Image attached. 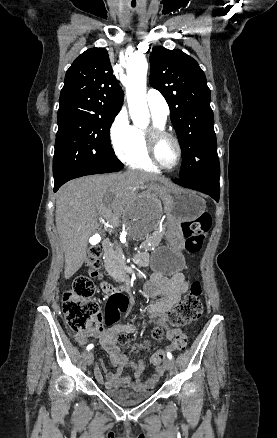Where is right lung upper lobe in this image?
I'll use <instances>...</instances> for the list:
<instances>
[{
	"label": "right lung upper lobe",
	"mask_w": 277,
	"mask_h": 438,
	"mask_svg": "<svg viewBox=\"0 0 277 438\" xmlns=\"http://www.w3.org/2000/svg\"><path fill=\"white\" fill-rule=\"evenodd\" d=\"M123 98L106 49L91 48L81 54L66 72L58 117L112 118L120 111Z\"/></svg>",
	"instance_id": "cb5924a9"
}]
</instances>
